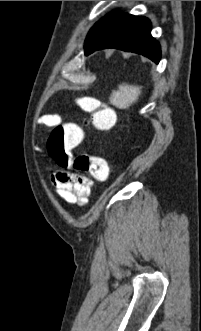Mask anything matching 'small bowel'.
I'll use <instances>...</instances> for the list:
<instances>
[{
    "label": "small bowel",
    "instance_id": "c3829d8e",
    "mask_svg": "<svg viewBox=\"0 0 201 331\" xmlns=\"http://www.w3.org/2000/svg\"><path fill=\"white\" fill-rule=\"evenodd\" d=\"M61 124V117L57 114H46L40 117L38 125L43 128H52ZM41 151L40 147H37ZM51 182L57 194L67 203L84 205L90 196L92 180L82 174H74L60 169L51 175Z\"/></svg>",
    "mask_w": 201,
    "mask_h": 331
}]
</instances>
